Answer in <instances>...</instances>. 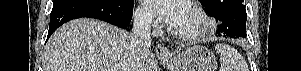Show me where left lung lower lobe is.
<instances>
[{
    "label": "left lung lower lobe",
    "mask_w": 301,
    "mask_h": 71,
    "mask_svg": "<svg viewBox=\"0 0 301 71\" xmlns=\"http://www.w3.org/2000/svg\"><path fill=\"white\" fill-rule=\"evenodd\" d=\"M216 19V36L228 38L246 37V9L238 0H227L208 13Z\"/></svg>",
    "instance_id": "obj_1"
}]
</instances>
